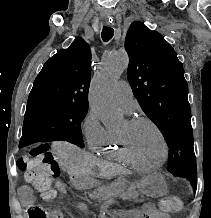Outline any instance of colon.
<instances>
[{
	"label": "colon",
	"instance_id": "obj_1",
	"mask_svg": "<svg viewBox=\"0 0 211 218\" xmlns=\"http://www.w3.org/2000/svg\"><path fill=\"white\" fill-rule=\"evenodd\" d=\"M18 168L25 173L27 182L44 199H52L56 195L54 182L59 176V167L52 153L45 144L34 145L28 154L17 162ZM181 206L177 197L165 198L160 207L164 211H175ZM52 213L41 206L34 205L28 209V218H51Z\"/></svg>",
	"mask_w": 211,
	"mask_h": 218
}]
</instances>
